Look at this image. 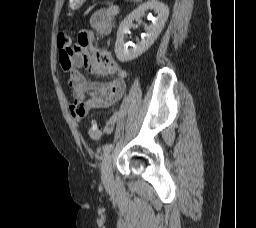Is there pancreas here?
<instances>
[{
    "mask_svg": "<svg viewBox=\"0 0 256 228\" xmlns=\"http://www.w3.org/2000/svg\"><path fill=\"white\" fill-rule=\"evenodd\" d=\"M126 1H131V2L133 1V2H137V1H139V0H126Z\"/></svg>",
    "mask_w": 256,
    "mask_h": 228,
    "instance_id": "pancreas-1",
    "label": "pancreas"
}]
</instances>
